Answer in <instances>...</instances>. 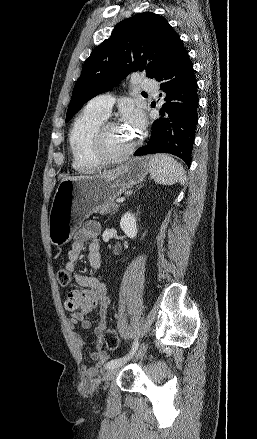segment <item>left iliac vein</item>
Listing matches in <instances>:
<instances>
[{
    "label": "left iliac vein",
    "instance_id": "obj_1",
    "mask_svg": "<svg viewBox=\"0 0 257 439\" xmlns=\"http://www.w3.org/2000/svg\"><path fill=\"white\" fill-rule=\"evenodd\" d=\"M144 350H145V345L143 344V345H141V347H140V349H139V351H138V353H137V355H136V358L141 357V356L143 355ZM124 363H125V362H124ZM124 363H122V364H120V365H116V366H114V367H112V368H109V369L105 372V374H104V377H103L104 382H105V383H108L109 381H111V380L116 376V374H117L119 368H120Z\"/></svg>",
    "mask_w": 257,
    "mask_h": 439
}]
</instances>
